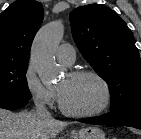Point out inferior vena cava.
Instances as JSON below:
<instances>
[{
	"label": "inferior vena cava",
	"mask_w": 141,
	"mask_h": 139,
	"mask_svg": "<svg viewBox=\"0 0 141 139\" xmlns=\"http://www.w3.org/2000/svg\"><path fill=\"white\" fill-rule=\"evenodd\" d=\"M36 115L42 119H52L51 113L46 108L44 102L36 101Z\"/></svg>",
	"instance_id": "602c4592"
}]
</instances>
